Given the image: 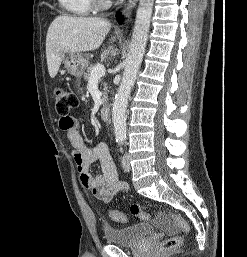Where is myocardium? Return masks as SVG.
Masks as SVG:
<instances>
[{
    "label": "myocardium",
    "mask_w": 247,
    "mask_h": 257,
    "mask_svg": "<svg viewBox=\"0 0 247 257\" xmlns=\"http://www.w3.org/2000/svg\"><path fill=\"white\" fill-rule=\"evenodd\" d=\"M95 7L103 9L109 6V0H92Z\"/></svg>",
    "instance_id": "f54148a6"
}]
</instances>
